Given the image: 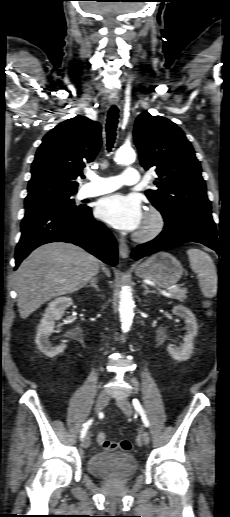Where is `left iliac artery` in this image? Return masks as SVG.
I'll return each instance as SVG.
<instances>
[{"instance_id":"obj_1","label":"left iliac artery","mask_w":230,"mask_h":517,"mask_svg":"<svg viewBox=\"0 0 230 517\" xmlns=\"http://www.w3.org/2000/svg\"><path fill=\"white\" fill-rule=\"evenodd\" d=\"M133 406L136 409V411L140 414L141 419H142L144 425L146 427H148L149 426V421H148V418L146 416L145 410H144V408L142 407V405L140 404V402L137 399H133Z\"/></svg>"}]
</instances>
